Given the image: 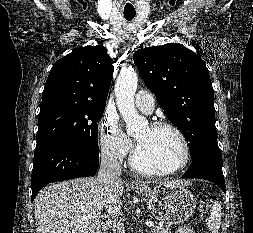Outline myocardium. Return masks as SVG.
I'll list each match as a JSON object with an SVG mask.
<instances>
[{"label": "myocardium", "instance_id": "f54148a6", "mask_svg": "<svg viewBox=\"0 0 253 233\" xmlns=\"http://www.w3.org/2000/svg\"><path fill=\"white\" fill-rule=\"evenodd\" d=\"M149 127L153 130H169L172 131L177 138L179 139L182 148H183V157L181 162L174 168L168 169V170H154L149 169L140 164L137 158V145L134 146L131 158H130V164L131 166L140 174L146 175V176H153V177H160V176H169L176 174L183 169L187 167L189 164L190 158H191V148L190 144L185 136V134L182 132L180 128H178L176 125L165 122V121H156L149 125Z\"/></svg>", "mask_w": 253, "mask_h": 233}]
</instances>
